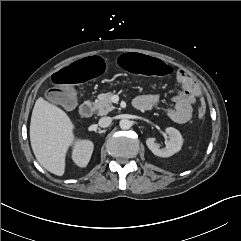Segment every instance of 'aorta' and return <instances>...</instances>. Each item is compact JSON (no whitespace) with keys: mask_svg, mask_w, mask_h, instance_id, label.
<instances>
[{"mask_svg":"<svg viewBox=\"0 0 241 241\" xmlns=\"http://www.w3.org/2000/svg\"><path fill=\"white\" fill-rule=\"evenodd\" d=\"M119 126L123 130H128L131 128L132 122L128 119H122V120H120Z\"/></svg>","mask_w":241,"mask_h":241,"instance_id":"aorta-1","label":"aorta"}]
</instances>
